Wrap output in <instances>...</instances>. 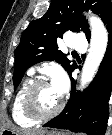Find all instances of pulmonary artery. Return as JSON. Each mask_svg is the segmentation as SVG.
<instances>
[{
    "mask_svg": "<svg viewBox=\"0 0 112 135\" xmlns=\"http://www.w3.org/2000/svg\"><path fill=\"white\" fill-rule=\"evenodd\" d=\"M69 47L73 50H76L77 52H84L87 47V41L85 37L81 35H73L70 38ZM30 74L34 73V69L32 68L29 71Z\"/></svg>",
    "mask_w": 112,
    "mask_h": 135,
    "instance_id": "e3ab8cb5",
    "label": "pulmonary artery"
}]
</instances>
